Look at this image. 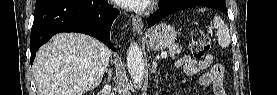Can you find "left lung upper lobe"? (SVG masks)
I'll return each instance as SVG.
<instances>
[{
  "instance_id": "5c2ea615",
  "label": "left lung upper lobe",
  "mask_w": 277,
  "mask_h": 95,
  "mask_svg": "<svg viewBox=\"0 0 277 95\" xmlns=\"http://www.w3.org/2000/svg\"><path fill=\"white\" fill-rule=\"evenodd\" d=\"M162 1H165V0H162ZM221 4H223V2H219V0H210L209 2L203 1L201 3L202 6H207V7L216 8V9H220L222 7L220 6Z\"/></svg>"
}]
</instances>
